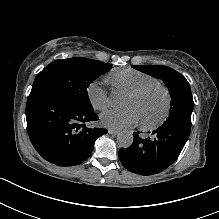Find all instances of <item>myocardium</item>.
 <instances>
[{
    "mask_svg": "<svg viewBox=\"0 0 219 219\" xmlns=\"http://www.w3.org/2000/svg\"><path fill=\"white\" fill-rule=\"evenodd\" d=\"M155 88H159V89H162L164 91V94L166 97L165 111H164L162 118L154 124H146V123L140 121V127L145 131H153V130L159 129L161 126H163L165 124V122L169 118L170 112H171V107H172L171 91L168 88V86H166L165 84H162L160 82H153V83H148L146 85H143V86L139 87L138 89L128 93V96L137 97V96H140V95L144 94L145 92H147L151 89H155Z\"/></svg>",
    "mask_w": 219,
    "mask_h": 219,
    "instance_id": "1",
    "label": "myocardium"
}]
</instances>
